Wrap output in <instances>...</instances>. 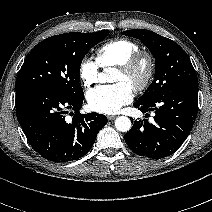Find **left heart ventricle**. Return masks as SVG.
Returning a JSON list of instances; mask_svg holds the SVG:
<instances>
[{"label": "left heart ventricle", "mask_w": 212, "mask_h": 212, "mask_svg": "<svg viewBox=\"0 0 212 212\" xmlns=\"http://www.w3.org/2000/svg\"><path fill=\"white\" fill-rule=\"evenodd\" d=\"M142 75L141 71H138L134 75H127L123 73L121 70L117 69L115 73L113 74L112 81L113 82H126L130 86L133 85L134 82H136Z\"/></svg>", "instance_id": "obj_1"}]
</instances>
